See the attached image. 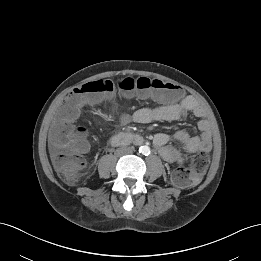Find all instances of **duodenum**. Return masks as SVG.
<instances>
[{
	"label": "duodenum",
	"mask_w": 261,
	"mask_h": 261,
	"mask_svg": "<svg viewBox=\"0 0 261 261\" xmlns=\"http://www.w3.org/2000/svg\"><path fill=\"white\" fill-rule=\"evenodd\" d=\"M142 137L132 132H121L115 135L112 139V143L115 145H127L129 143H141Z\"/></svg>",
	"instance_id": "obj_1"
}]
</instances>
